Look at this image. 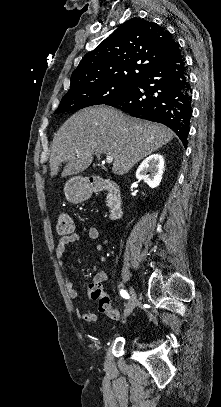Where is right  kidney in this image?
<instances>
[{
	"mask_svg": "<svg viewBox=\"0 0 221 407\" xmlns=\"http://www.w3.org/2000/svg\"><path fill=\"white\" fill-rule=\"evenodd\" d=\"M164 171V159L160 154H152L147 157L138 167L136 178L143 180L151 188L159 186ZM150 172L151 175L147 173Z\"/></svg>",
	"mask_w": 221,
	"mask_h": 407,
	"instance_id": "1",
	"label": "right kidney"
}]
</instances>
